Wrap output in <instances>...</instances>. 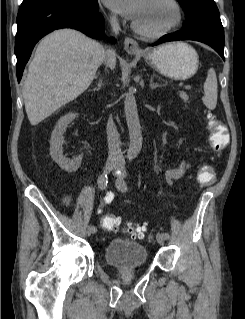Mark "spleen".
Here are the masks:
<instances>
[{"label":"spleen","mask_w":245,"mask_h":319,"mask_svg":"<svg viewBox=\"0 0 245 319\" xmlns=\"http://www.w3.org/2000/svg\"><path fill=\"white\" fill-rule=\"evenodd\" d=\"M204 96L202 101L208 109H215L217 104V77L213 68H210L207 73V78L204 82Z\"/></svg>","instance_id":"obj_1"}]
</instances>
